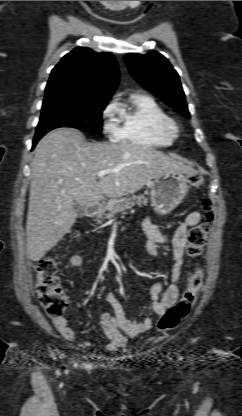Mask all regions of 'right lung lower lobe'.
Returning <instances> with one entry per match:
<instances>
[{"instance_id":"obj_1","label":"right lung lower lobe","mask_w":242,"mask_h":416,"mask_svg":"<svg viewBox=\"0 0 242 416\" xmlns=\"http://www.w3.org/2000/svg\"><path fill=\"white\" fill-rule=\"evenodd\" d=\"M40 139H41V137H34V140H33V146H32V148H34V147H35L36 143H37Z\"/></svg>"}]
</instances>
